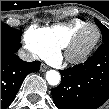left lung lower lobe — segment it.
<instances>
[{"label": "left lung lower lobe", "instance_id": "left-lung-lower-lobe-1", "mask_svg": "<svg viewBox=\"0 0 109 109\" xmlns=\"http://www.w3.org/2000/svg\"><path fill=\"white\" fill-rule=\"evenodd\" d=\"M61 83L52 89L59 109H96L109 98V43H103L87 61L60 71Z\"/></svg>", "mask_w": 109, "mask_h": 109}]
</instances>
